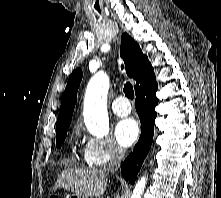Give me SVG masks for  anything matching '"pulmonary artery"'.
<instances>
[{
	"mask_svg": "<svg viewBox=\"0 0 221 198\" xmlns=\"http://www.w3.org/2000/svg\"><path fill=\"white\" fill-rule=\"evenodd\" d=\"M112 110L117 116L125 117L131 113V106L126 97L119 96L112 102Z\"/></svg>",
	"mask_w": 221,
	"mask_h": 198,
	"instance_id": "obj_1",
	"label": "pulmonary artery"
}]
</instances>
